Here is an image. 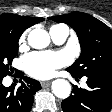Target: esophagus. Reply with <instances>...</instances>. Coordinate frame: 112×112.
<instances>
[{"mask_svg":"<svg viewBox=\"0 0 112 112\" xmlns=\"http://www.w3.org/2000/svg\"><path fill=\"white\" fill-rule=\"evenodd\" d=\"M40 84L43 88H45V87H48L51 84V81H41Z\"/></svg>","mask_w":112,"mask_h":112,"instance_id":"esophagus-1","label":"esophagus"}]
</instances>
